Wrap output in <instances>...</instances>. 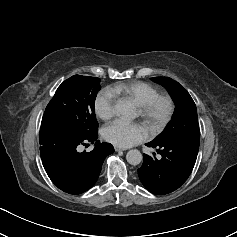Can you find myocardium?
<instances>
[{
  "label": "myocardium",
  "mask_w": 237,
  "mask_h": 237,
  "mask_svg": "<svg viewBox=\"0 0 237 237\" xmlns=\"http://www.w3.org/2000/svg\"><path fill=\"white\" fill-rule=\"evenodd\" d=\"M165 104L166 110L162 115L157 114L159 105ZM175 112V103L168 95H157L139 106L140 116L149 125L153 133L158 132L171 120Z\"/></svg>",
  "instance_id": "myocardium-1"
}]
</instances>
